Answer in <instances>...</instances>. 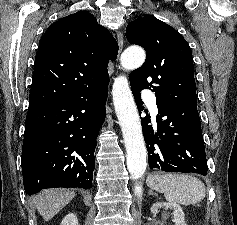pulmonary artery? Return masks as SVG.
Returning <instances> with one entry per match:
<instances>
[{
  "instance_id": "1",
  "label": "pulmonary artery",
  "mask_w": 237,
  "mask_h": 225,
  "mask_svg": "<svg viewBox=\"0 0 237 225\" xmlns=\"http://www.w3.org/2000/svg\"><path fill=\"white\" fill-rule=\"evenodd\" d=\"M145 101L153 114L157 113L156 99L153 94L146 92Z\"/></svg>"
}]
</instances>
